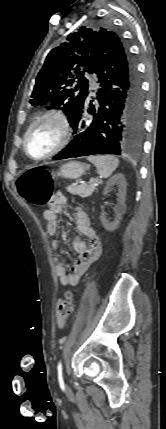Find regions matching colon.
Here are the masks:
<instances>
[{
  "label": "colon",
  "mask_w": 166,
  "mask_h": 429,
  "mask_svg": "<svg viewBox=\"0 0 166 429\" xmlns=\"http://www.w3.org/2000/svg\"><path fill=\"white\" fill-rule=\"evenodd\" d=\"M53 179L50 172L41 166L26 169L17 180L19 194L29 203L43 206L48 203L52 193ZM74 312V299L71 293L58 302L57 316L61 323L67 322Z\"/></svg>",
  "instance_id": "colon-1"
}]
</instances>
